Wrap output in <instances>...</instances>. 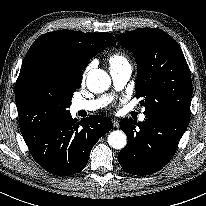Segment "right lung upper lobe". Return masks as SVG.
Masks as SVG:
<instances>
[{
    "label": "right lung upper lobe",
    "mask_w": 206,
    "mask_h": 206,
    "mask_svg": "<svg viewBox=\"0 0 206 206\" xmlns=\"http://www.w3.org/2000/svg\"><path fill=\"white\" fill-rule=\"evenodd\" d=\"M110 33H84L72 30H58L41 35L28 50L16 82L15 99L18 102V88L23 74L33 56L40 50L51 48L58 51L69 67L81 75L90 59L108 46H115Z\"/></svg>",
    "instance_id": "right-lung-upper-lobe-1"
}]
</instances>
